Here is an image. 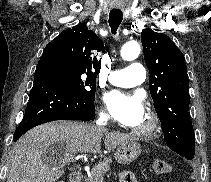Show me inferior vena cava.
<instances>
[{
	"instance_id": "602c4592",
	"label": "inferior vena cava",
	"mask_w": 211,
	"mask_h": 182,
	"mask_svg": "<svg viewBox=\"0 0 211 182\" xmlns=\"http://www.w3.org/2000/svg\"><path fill=\"white\" fill-rule=\"evenodd\" d=\"M107 116H105V115H100V118L97 120V122H96V124H97V126H99L98 127V130L99 131H104L105 130V127L104 126H101L102 125V121H107Z\"/></svg>"
}]
</instances>
